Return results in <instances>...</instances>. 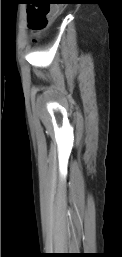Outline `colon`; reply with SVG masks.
Masks as SVG:
<instances>
[{
  "label": "colon",
  "instance_id": "1",
  "mask_svg": "<svg viewBox=\"0 0 122 257\" xmlns=\"http://www.w3.org/2000/svg\"><path fill=\"white\" fill-rule=\"evenodd\" d=\"M51 6L37 5L30 7L28 10L29 26L34 32L44 30L50 20Z\"/></svg>",
  "mask_w": 122,
  "mask_h": 257
}]
</instances>
